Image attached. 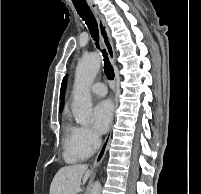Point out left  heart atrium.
Masks as SVG:
<instances>
[{"label": "left heart atrium", "instance_id": "obj_1", "mask_svg": "<svg viewBox=\"0 0 201 194\" xmlns=\"http://www.w3.org/2000/svg\"><path fill=\"white\" fill-rule=\"evenodd\" d=\"M113 117V106L108 100L100 101L93 109L94 128L99 133H104L110 126Z\"/></svg>", "mask_w": 201, "mask_h": 194}]
</instances>
